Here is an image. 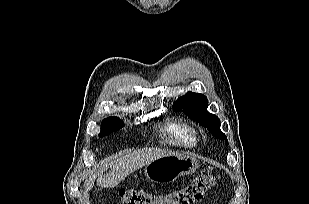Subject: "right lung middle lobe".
<instances>
[{"label": "right lung middle lobe", "instance_id": "right-lung-middle-lobe-1", "mask_svg": "<svg viewBox=\"0 0 309 204\" xmlns=\"http://www.w3.org/2000/svg\"><path fill=\"white\" fill-rule=\"evenodd\" d=\"M124 126V123L117 117H108L101 124L100 136L103 137L117 131Z\"/></svg>", "mask_w": 309, "mask_h": 204}]
</instances>
